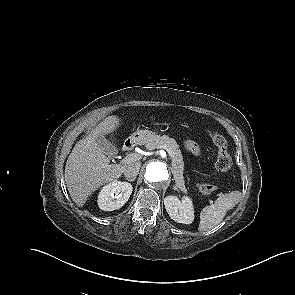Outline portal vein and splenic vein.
Instances as JSON below:
<instances>
[{"instance_id": "18ae733b", "label": "portal vein and splenic vein", "mask_w": 295, "mask_h": 295, "mask_svg": "<svg viewBox=\"0 0 295 295\" xmlns=\"http://www.w3.org/2000/svg\"><path fill=\"white\" fill-rule=\"evenodd\" d=\"M159 148L166 150L167 153L169 154V156L172 158V153H171V150L169 148H167L166 146H160ZM140 159H141V155L140 154H138V153H132V154H129L128 156H126L122 160V163L128 164V163H131V162L140 160ZM208 202L210 204H213V200L212 199H208Z\"/></svg>"}]
</instances>
